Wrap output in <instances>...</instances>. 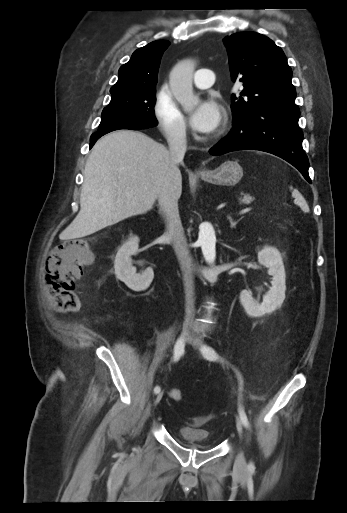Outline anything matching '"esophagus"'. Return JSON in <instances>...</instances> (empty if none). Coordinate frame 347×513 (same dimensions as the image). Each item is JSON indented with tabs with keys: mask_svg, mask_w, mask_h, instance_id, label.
Returning a JSON list of instances; mask_svg holds the SVG:
<instances>
[{
	"mask_svg": "<svg viewBox=\"0 0 347 513\" xmlns=\"http://www.w3.org/2000/svg\"><path fill=\"white\" fill-rule=\"evenodd\" d=\"M204 173H205V171H201V172H200V174H204Z\"/></svg>",
	"mask_w": 347,
	"mask_h": 513,
	"instance_id": "34e87169",
	"label": "esophagus"
}]
</instances>
